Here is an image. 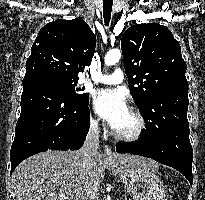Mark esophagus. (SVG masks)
Segmentation results:
<instances>
[{
    "mask_svg": "<svg viewBox=\"0 0 205 200\" xmlns=\"http://www.w3.org/2000/svg\"><path fill=\"white\" fill-rule=\"evenodd\" d=\"M104 157L109 161H114L116 159V156L109 145L104 146Z\"/></svg>",
    "mask_w": 205,
    "mask_h": 200,
    "instance_id": "esophagus-1",
    "label": "esophagus"
}]
</instances>
